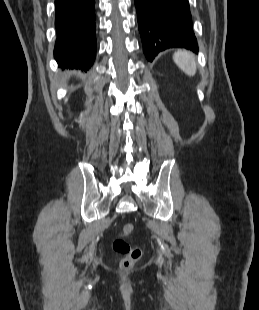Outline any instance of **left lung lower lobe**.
<instances>
[{
	"mask_svg": "<svg viewBox=\"0 0 259 310\" xmlns=\"http://www.w3.org/2000/svg\"><path fill=\"white\" fill-rule=\"evenodd\" d=\"M146 58L152 61L168 48L198 52L188 0H135Z\"/></svg>",
	"mask_w": 259,
	"mask_h": 310,
	"instance_id": "0a47b994",
	"label": "left lung lower lobe"
}]
</instances>
